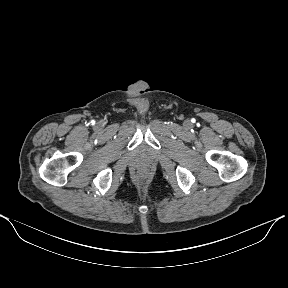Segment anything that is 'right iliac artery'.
<instances>
[{
	"mask_svg": "<svg viewBox=\"0 0 288 288\" xmlns=\"http://www.w3.org/2000/svg\"><path fill=\"white\" fill-rule=\"evenodd\" d=\"M91 123H92V125H94L95 121L93 120V121H91Z\"/></svg>",
	"mask_w": 288,
	"mask_h": 288,
	"instance_id": "82829eb1",
	"label": "right iliac artery"
}]
</instances>
